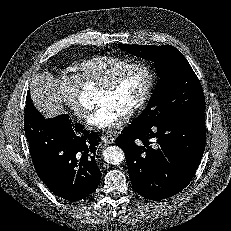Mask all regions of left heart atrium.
<instances>
[{
  "label": "left heart atrium",
  "instance_id": "left-heart-atrium-1",
  "mask_svg": "<svg viewBox=\"0 0 231 231\" xmlns=\"http://www.w3.org/2000/svg\"><path fill=\"white\" fill-rule=\"evenodd\" d=\"M124 114L109 102L100 103L88 116V124L99 129H112L123 120Z\"/></svg>",
  "mask_w": 231,
  "mask_h": 231
}]
</instances>
